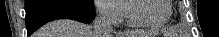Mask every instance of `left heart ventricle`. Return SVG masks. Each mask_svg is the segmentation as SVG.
I'll list each match as a JSON object with an SVG mask.
<instances>
[{"label":"left heart ventricle","instance_id":"1","mask_svg":"<svg viewBox=\"0 0 219 37\" xmlns=\"http://www.w3.org/2000/svg\"><path fill=\"white\" fill-rule=\"evenodd\" d=\"M136 14L147 21H161L168 15L164 0H143L135 4Z\"/></svg>","mask_w":219,"mask_h":37}]
</instances>
